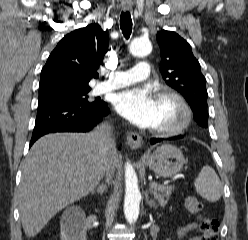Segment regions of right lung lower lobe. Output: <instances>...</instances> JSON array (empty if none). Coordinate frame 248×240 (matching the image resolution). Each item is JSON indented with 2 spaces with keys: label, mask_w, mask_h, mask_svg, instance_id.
<instances>
[{
  "label": "right lung lower lobe",
  "mask_w": 248,
  "mask_h": 240,
  "mask_svg": "<svg viewBox=\"0 0 248 240\" xmlns=\"http://www.w3.org/2000/svg\"><path fill=\"white\" fill-rule=\"evenodd\" d=\"M108 113L109 108L104 101L90 105L64 101L39 103L30 146L48 133L89 131Z\"/></svg>",
  "instance_id": "98d812e1"
}]
</instances>
